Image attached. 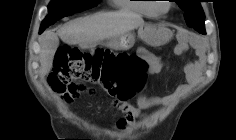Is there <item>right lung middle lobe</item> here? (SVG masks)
Here are the masks:
<instances>
[{"label": "right lung middle lobe", "mask_w": 236, "mask_h": 140, "mask_svg": "<svg viewBox=\"0 0 236 140\" xmlns=\"http://www.w3.org/2000/svg\"><path fill=\"white\" fill-rule=\"evenodd\" d=\"M100 0H52L48 6L49 15L42 22L40 29L54 24L60 18L92 8Z\"/></svg>", "instance_id": "obj_1"}]
</instances>
